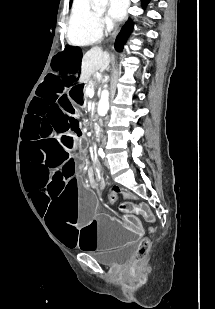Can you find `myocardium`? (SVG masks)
Listing matches in <instances>:
<instances>
[{"label":"myocardium","mask_w":215,"mask_h":309,"mask_svg":"<svg viewBox=\"0 0 215 309\" xmlns=\"http://www.w3.org/2000/svg\"><path fill=\"white\" fill-rule=\"evenodd\" d=\"M98 24L102 26L98 30H107L109 28V25L107 23H98Z\"/></svg>","instance_id":"obj_1"}]
</instances>
